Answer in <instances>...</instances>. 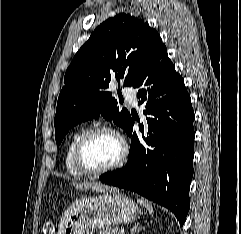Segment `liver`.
Wrapping results in <instances>:
<instances>
[{"label":"liver","instance_id":"liver-1","mask_svg":"<svg viewBox=\"0 0 241 234\" xmlns=\"http://www.w3.org/2000/svg\"><path fill=\"white\" fill-rule=\"evenodd\" d=\"M71 184L78 190L91 189L93 191H101V192H105V191L109 190V188L107 186L103 185L100 182H76V181H73Z\"/></svg>","mask_w":241,"mask_h":234}]
</instances>
